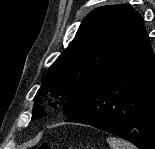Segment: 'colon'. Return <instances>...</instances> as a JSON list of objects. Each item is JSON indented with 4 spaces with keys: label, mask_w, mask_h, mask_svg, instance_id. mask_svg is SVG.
Here are the masks:
<instances>
[{
    "label": "colon",
    "mask_w": 155,
    "mask_h": 149,
    "mask_svg": "<svg viewBox=\"0 0 155 149\" xmlns=\"http://www.w3.org/2000/svg\"><path fill=\"white\" fill-rule=\"evenodd\" d=\"M38 149H52V145L49 144V143H41V144L38 146Z\"/></svg>",
    "instance_id": "obj_1"
}]
</instances>
